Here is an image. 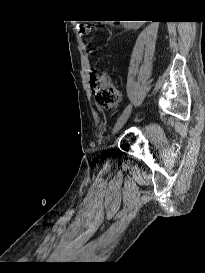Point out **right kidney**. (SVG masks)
<instances>
[{
	"instance_id": "obj_1",
	"label": "right kidney",
	"mask_w": 205,
	"mask_h": 273,
	"mask_svg": "<svg viewBox=\"0 0 205 273\" xmlns=\"http://www.w3.org/2000/svg\"><path fill=\"white\" fill-rule=\"evenodd\" d=\"M143 21H130L124 22L123 26L128 29H138L142 25Z\"/></svg>"
}]
</instances>
